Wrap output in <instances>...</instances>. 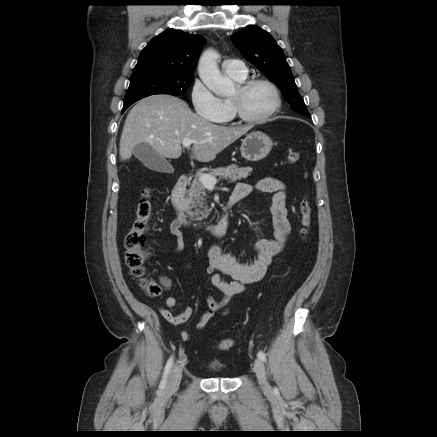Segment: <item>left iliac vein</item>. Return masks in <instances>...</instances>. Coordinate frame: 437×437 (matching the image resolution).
I'll return each instance as SVG.
<instances>
[{"label": "left iliac vein", "instance_id": "left-iliac-vein-1", "mask_svg": "<svg viewBox=\"0 0 437 437\" xmlns=\"http://www.w3.org/2000/svg\"><path fill=\"white\" fill-rule=\"evenodd\" d=\"M254 372L256 373L261 388L264 391L269 392L271 388L267 382L265 366L263 361L259 358L254 361Z\"/></svg>", "mask_w": 437, "mask_h": 437}]
</instances>
